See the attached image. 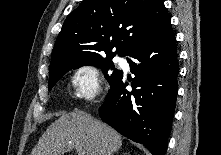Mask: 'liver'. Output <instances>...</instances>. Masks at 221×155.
Returning <instances> with one entry per match:
<instances>
[{
	"label": "liver",
	"instance_id": "6515ba94",
	"mask_svg": "<svg viewBox=\"0 0 221 155\" xmlns=\"http://www.w3.org/2000/svg\"><path fill=\"white\" fill-rule=\"evenodd\" d=\"M122 146L121 135L86 112L62 114L40 137L31 155H64L68 148L85 155H113Z\"/></svg>",
	"mask_w": 221,
	"mask_h": 155
}]
</instances>
